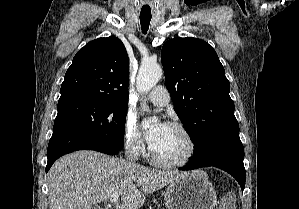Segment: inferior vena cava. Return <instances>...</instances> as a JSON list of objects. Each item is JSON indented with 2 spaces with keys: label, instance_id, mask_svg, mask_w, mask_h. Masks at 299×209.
Wrapping results in <instances>:
<instances>
[{
  "label": "inferior vena cava",
  "instance_id": "1",
  "mask_svg": "<svg viewBox=\"0 0 299 209\" xmlns=\"http://www.w3.org/2000/svg\"><path fill=\"white\" fill-rule=\"evenodd\" d=\"M133 147H134L133 142L127 143L125 147L126 148L125 155L128 161L135 163L136 160H138V154L135 152Z\"/></svg>",
  "mask_w": 299,
  "mask_h": 209
}]
</instances>
